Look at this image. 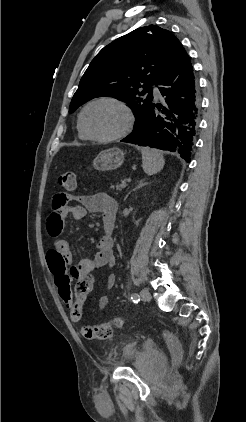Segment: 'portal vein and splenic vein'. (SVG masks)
Masks as SVG:
<instances>
[{
    "label": "portal vein and splenic vein",
    "instance_id": "18ae733b",
    "mask_svg": "<svg viewBox=\"0 0 246 422\" xmlns=\"http://www.w3.org/2000/svg\"><path fill=\"white\" fill-rule=\"evenodd\" d=\"M130 182H131V178H128L125 183H130Z\"/></svg>",
    "mask_w": 246,
    "mask_h": 422
}]
</instances>
